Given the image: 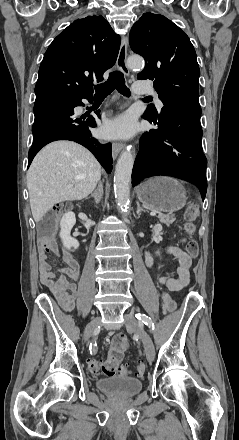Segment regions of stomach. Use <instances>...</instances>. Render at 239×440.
<instances>
[{
	"label": "stomach",
	"mask_w": 239,
	"mask_h": 440,
	"mask_svg": "<svg viewBox=\"0 0 239 440\" xmlns=\"http://www.w3.org/2000/svg\"><path fill=\"white\" fill-rule=\"evenodd\" d=\"M136 194L145 208H151L156 212H177L184 208L187 200L182 184L166 176H156L142 182L137 186Z\"/></svg>",
	"instance_id": "obj_1"
}]
</instances>
